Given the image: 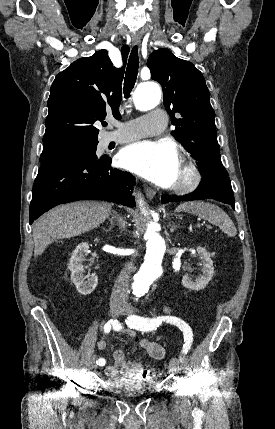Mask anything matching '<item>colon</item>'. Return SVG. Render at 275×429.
<instances>
[{
    "label": "colon",
    "instance_id": "5ec220e1",
    "mask_svg": "<svg viewBox=\"0 0 275 429\" xmlns=\"http://www.w3.org/2000/svg\"><path fill=\"white\" fill-rule=\"evenodd\" d=\"M145 376L146 377H152L154 376V369L151 365H148L146 370H145Z\"/></svg>",
    "mask_w": 275,
    "mask_h": 429
}]
</instances>
